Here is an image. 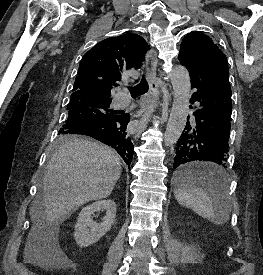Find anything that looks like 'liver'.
I'll return each instance as SVG.
<instances>
[{"instance_id":"obj_1","label":"liver","mask_w":263,"mask_h":275,"mask_svg":"<svg viewBox=\"0 0 263 275\" xmlns=\"http://www.w3.org/2000/svg\"><path fill=\"white\" fill-rule=\"evenodd\" d=\"M121 175L115 152L91 140L62 144L46 166L43 196L30 214L46 226H58L86 202L108 197Z\"/></svg>"}]
</instances>
